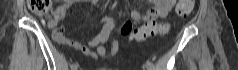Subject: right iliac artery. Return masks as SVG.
I'll use <instances>...</instances> for the list:
<instances>
[{
  "label": "right iliac artery",
  "instance_id": "obj_1",
  "mask_svg": "<svg viewBox=\"0 0 238 70\" xmlns=\"http://www.w3.org/2000/svg\"><path fill=\"white\" fill-rule=\"evenodd\" d=\"M77 67H78V65L74 63L71 65V70H77Z\"/></svg>",
  "mask_w": 238,
  "mask_h": 70
}]
</instances>
